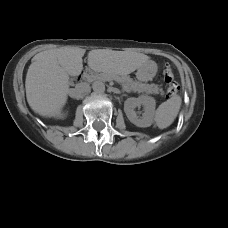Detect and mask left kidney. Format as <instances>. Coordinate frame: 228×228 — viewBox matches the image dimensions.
<instances>
[{"instance_id": "obj_1", "label": "left kidney", "mask_w": 228, "mask_h": 228, "mask_svg": "<svg viewBox=\"0 0 228 228\" xmlns=\"http://www.w3.org/2000/svg\"><path fill=\"white\" fill-rule=\"evenodd\" d=\"M143 106L144 113L139 117L135 108ZM155 100L149 96H140L138 98H128L124 103V112L127 118L138 127H149L153 123Z\"/></svg>"}]
</instances>
